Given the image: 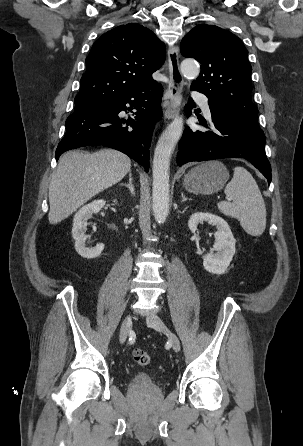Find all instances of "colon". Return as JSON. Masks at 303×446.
<instances>
[{"label": "colon", "instance_id": "colon-1", "mask_svg": "<svg viewBox=\"0 0 303 446\" xmlns=\"http://www.w3.org/2000/svg\"><path fill=\"white\" fill-rule=\"evenodd\" d=\"M133 359L139 366H147L151 361L150 355L146 351L140 349L133 352Z\"/></svg>", "mask_w": 303, "mask_h": 446}]
</instances>
